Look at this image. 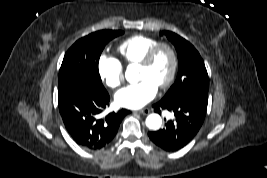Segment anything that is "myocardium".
I'll list each match as a JSON object with an SVG mask.
<instances>
[{
	"instance_id": "myocardium-1",
	"label": "myocardium",
	"mask_w": 267,
	"mask_h": 178,
	"mask_svg": "<svg viewBox=\"0 0 267 178\" xmlns=\"http://www.w3.org/2000/svg\"><path fill=\"white\" fill-rule=\"evenodd\" d=\"M163 49L167 50L170 54L171 68L167 78L158 86L159 89H165L169 87L175 79L179 64V58L174 45L170 42H159L155 46H153L138 63L141 67L150 66L156 55Z\"/></svg>"
}]
</instances>
